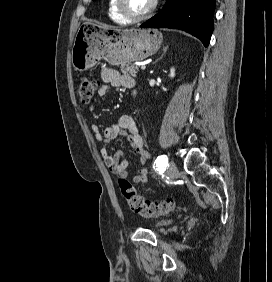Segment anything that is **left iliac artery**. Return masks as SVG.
Returning a JSON list of instances; mask_svg holds the SVG:
<instances>
[{
    "label": "left iliac artery",
    "instance_id": "obj_1",
    "mask_svg": "<svg viewBox=\"0 0 272 282\" xmlns=\"http://www.w3.org/2000/svg\"><path fill=\"white\" fill-rule=\"evenodd\" d=\"M167 166H169L168 164V159L166 155H161L159 157H157L156 161H155V169L162 173L166 170Z\"/></svg>",
    "mask_w": 272,
    "mask_h": 282
}]
</instances>
